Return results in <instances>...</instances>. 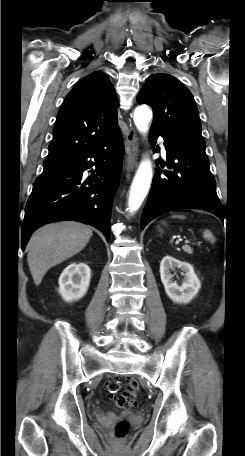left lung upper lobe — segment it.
I'll use <instances>...</instances> for the list:
<instances>
[{
	"label": "left lung upper lobe",
	"instance_id": "obj_1",
	"mask_svg": "<svg viewBox=\"0 0 245 456\" xmlns=\"http://www.w3.org/2000/svg\"><path fill=\"white\" fill-rule=\"evenodd\" d=\"M137 102L152 107L154 116L151 130L173 134L185 143L205 151L195 100L178 79L164 73L150 76L140 91Z\"/></svg>",
	"mask_w": 245,
	"mask_h": 456
}]
</instances>
